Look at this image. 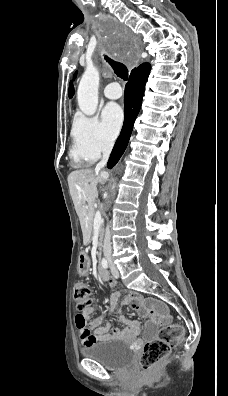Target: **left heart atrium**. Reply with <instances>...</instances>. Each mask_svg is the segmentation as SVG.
Returning <instances> with one entry per match:
<instances>
[{
    "mask_svg": "<svg viewBox=\"0 0 228 396\" xmlns=\"http://www.w3.org/2000/svg\"><path fill=\"white\" fill-rule=\"evenodd\" d=\"M124 119L123 111L117 104H108L102 112L103 127L108 137L114 139L122 126Z\"/></svg>",
    "mask_w": 228,
    "mask_h": 396,
    "instance_id": "1",
    "label": "left heart atrium"
}]
</instances>
